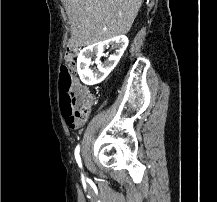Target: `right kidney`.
<instances>
[{
  "label": "right kidney",
  "mask_w": 217,
  "mask_h": 202,
  "mask_svg": "<svg viewBox=\"0 0 217 202\" xmlns=\"http://www.w3.org/2000/svg\"><path fill=\"white\" fill-rule=\"evenodd\" d=\"M129 44L126 36H117V38H110V40H104V42H97L92 46H87L81 50L77 58V72L80 76V80L92 86V84H100L104 78H107L108 74L114 70L117 66L121 56H123L127 46ZM104 46H111V50H114V54L109 56L108 60H105L104 64H101L100 58L105 56ZM92 58H95V62H92ZM91 64H97L98 70L93 72L89 66Z\"/></svg>",
  "instance_id": "obj_1"
}]
</instances>
